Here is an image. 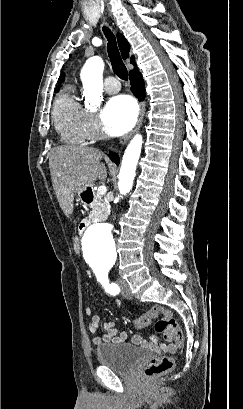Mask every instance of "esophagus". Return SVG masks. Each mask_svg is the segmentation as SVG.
<instances>
[{
    "instance_id": "obj_1",
    "label": "esophagus",
    "mask_w": 243,
    "mask_h": 409,
    "mask_svg": "<svg viewBox=\"0 0 243 409\" xmlns=\"http://www.w3.org/2000/svg\"><path fill=\"white\" fill-rule=\"evenodd\" d=\"M145 109H146L145 102H144V101H141V102H140V109H139V115H138L137 124H136L135 128H134L130 133L124 135V136L120 139V141H119L120 144H122V145L125 144V143L131 138V136H132L135 132H137V131L140 129V127H141V125H142V122H143V118H144V114H145Z\"/></svg>"
}]
</instances>
